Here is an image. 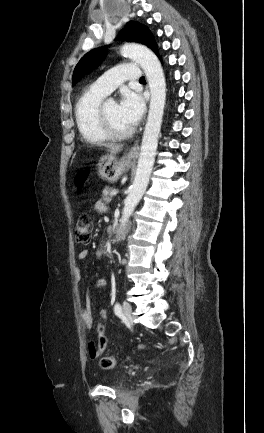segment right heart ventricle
Instances as JSON below:
<instances>
[{
	"mask_svg": "<svg viewBox=\"0 0 264 433\" xmlns=\"http://www.w3.org/2000/svg\"><path fill=\"white\" fill-rule=\"evenodd\" d=\"M105 96L90 88L84 91L76 102V125L81 137L86 142L99 143L108 139L98 118V110Z\"/></svg>",
	"mask_w": 264,
	"mask_h": 433,
	"instance_id": "right-heart-ventricle-1",
	"label": "right heart ventricle"
}]
</instances>
